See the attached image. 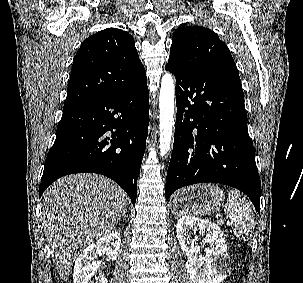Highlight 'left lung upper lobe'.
Wrapping results in <instances>:
<instances>
[{"mask_svg": "<svg viewBox=\"0 0 303 283\" xmlns=\"http://www.w3.org/2000/svg\"><path fill=\"white\" fill-rule=\"evenodd\" d=\"M168 63L191 72L224 70L239 76L226 44L201 26H180L173 34Z\"/></svg>", "mask_w": 303, "mask_h": 283, "instance_id": "left-lung-upper-lobe-1", "label": "left lung upper lobe"}]
</instances>
